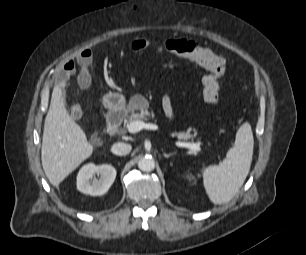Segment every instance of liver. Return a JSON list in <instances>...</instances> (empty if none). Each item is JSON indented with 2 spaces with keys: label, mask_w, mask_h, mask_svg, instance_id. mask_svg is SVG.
Returning <instances> with one entry per match:
<instances>
[{
  "label": "liver",
  "mask_w": 306,
  "mask_h": 255,
  "mask_svg": "<svg viewBox=\"0 0 306 255\" xmlns=\"http://www.w3.org/2000/svg\"><path fill=\"white\" fill-rule=\"evenodd\" d=\"M65 86L66 82L61 81L53 89L41 149L43 170L56 187L93 152L86 134L65 108Z\"/></svg>",
  "instance_id": "liver-1"
}]
</instances>
